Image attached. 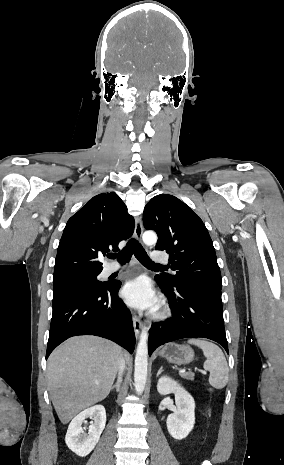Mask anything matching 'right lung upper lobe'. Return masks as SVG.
I'll return each mask as SVG.
<instances>
[{"label": "right lung upper lobe", "mask_w": 284, "mask_h": 465, "mask_svg": "<svg viewBox=\"0 0 284 465\" xmlns=\"http://www.w3.org/2000/svg\"><path fill=\"white\" fill-rule=\"evenodd\" d=\"M134 231V219L113 192L94 196L67 222L54 266L53 280L100 274L97 258L113 250Z\"/></svg>", "instance_id": "right-lung-upper-lobe-1"}]
</instances>
